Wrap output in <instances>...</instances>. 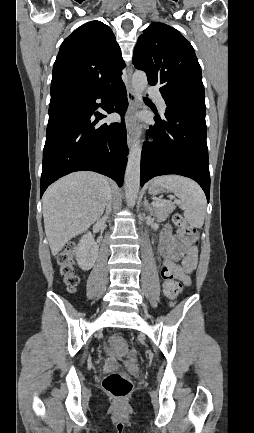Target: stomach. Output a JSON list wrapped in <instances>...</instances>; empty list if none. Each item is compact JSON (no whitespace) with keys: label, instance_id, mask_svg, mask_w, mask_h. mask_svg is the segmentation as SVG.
I'll return each instance as SVG.
<instances>
[{"label":"stomach","instance_id":"obj_1","mask_svg":"<svg viewBox=\"0 0 254 433\" xmlns=\"http://www.w3.org/2000/svg\"><path fill=\"white\" fill-rule=\"evenodd\" d=\"M148 192L150 194L156 195V194H159V193L163 192V189H162L161 186H154V185L151 184L149 186V188H148Z\"/></svg>","mask_w":254,"mask_h":433}]
</instances>
